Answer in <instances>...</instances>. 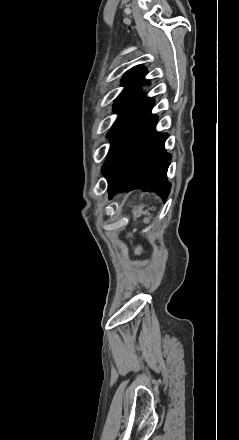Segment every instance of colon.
Instances as JSON below:
<instances>
[{
	"label": "colon",
	"instance_id": "obj_1",
	"mask_svg": "<svg viewBox=\"0 0 239 440\" xmlns=\"http://www.w3.org/2000/svg\"><path fill=\"white\" fill-rule=\"evenodd\" d=\"M138 213H139V211H136V212H135V214H138ZM140 250H141V248H138V251H140Z\"/></svg>",
	"mask_w": 239,
	"mask_h": 440
}]
</instances>
